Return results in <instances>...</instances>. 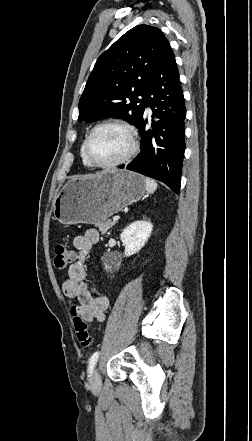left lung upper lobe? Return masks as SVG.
<instances>
[{
	"instance_id": "5c2ea615",
	"label": "left lung upper lobe",
	"mask_w": 252,
	"mask_h": 441,
	"mask_svg": "<svg viewBox=\"0 0 252 441\" xmlns=\"http://www.w3.org/2000/svg\"><path fill=\"white\" fill-rule=\"evenodd\" d=\"M166 41L160 29L142 24L102 53L80 98L78 120L121 118L138 128L144 117L146 92Z\"/></svg>"
}]
</instances>
